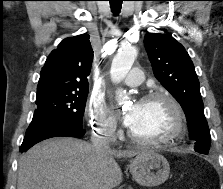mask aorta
Masks as SVG:
<instances>
[{
	"mask_svg": "<svg viewBox=\"0 0 223 189\" xmlns=\"http://www.w3.org/2000/svg\"><path fill=\"white\" fill-rule=\"evenodd\" d=\"M136 56L137 50L135 47L124 46L119 49L112 61L110 70L111 79L114 83H119L126 77L135 61ZM117 101L120 105H128V98L126 93L122 90L117 92Z\"/></svg>",
	"mask_w": 223,
	"mask_h": 189,
	"instance_id": "762f6f07",
	"label": "aorta"
}]
</instances>
